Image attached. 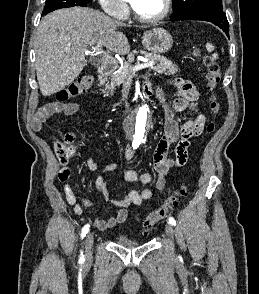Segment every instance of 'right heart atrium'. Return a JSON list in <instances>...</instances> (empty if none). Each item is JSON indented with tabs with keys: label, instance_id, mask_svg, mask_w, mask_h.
Masks as SVG:
<instances>
[{
	"label": "right heart atrium",
	"instance_id": "d8ad5b80",
	"mask_svg": "<svg viewBox=\"0 0 259 294\" xmlns=\"http://www.w3.org/2000/svg\"><path fill=\"white\" fill-rule=\"evenodd\" d=\"M104 11L117 19H125L129 15L126 0H99Z\"/></svg>",
	"mask_w": 259,
	"mask_h": 294
}]
</instances>
